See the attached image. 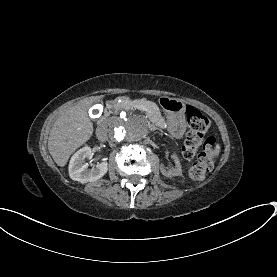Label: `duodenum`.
I'll return each mask as SVG.
<instances>
[{
  "label": "duodenum",
  "instance_id": "410a0bca",
  "mask_svg": "<svg viewBox=\"0 0 277 277\" xmlns=\"http://www.w3.org/2000/svg\"><path fill=\"white\" fill-rule=\"evenodd\" d=\"M114 102H115L114 100L108 101V103H107V105L105 107V110H104V115H108L110 113Z\"/></svg>",
  "mask_w": 277,
  "mask_h": 277
}]
</instances>
